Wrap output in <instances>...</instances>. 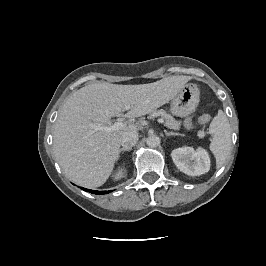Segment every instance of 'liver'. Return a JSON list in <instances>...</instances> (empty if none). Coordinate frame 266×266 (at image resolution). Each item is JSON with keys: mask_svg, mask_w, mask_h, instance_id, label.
I'll list each match as a JSON object with an SVG mask.
<instances>
[{"mask_svg": "<svg viewBox=\"0 0 266 266\" xmlns=\"http://www.w3.org/2000/svg\"><path fill=\"white\" fill-rule=\"evenodd\" d=\"M189 79L170 76L140 85L99 82L73 93L60 110L53 135L54 154L64 174L84 187L103 185L119 158L121 137L138 128L129 124L107 133L97 127L107 126L126 105H130L127 118L153 112L177 95Z\"/></svg>", "mask_w": 266, "mask_h": 266, "instance_id": "liver-1", "label": "liver"}]
</instances>
